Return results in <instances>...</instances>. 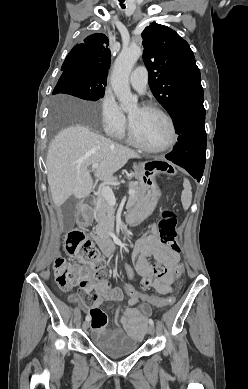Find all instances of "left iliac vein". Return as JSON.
I'll use <instances>...</instances> for the list:
<instances>
[{"mask_svg":"<svg viewBox=\"0 0 248 389\" xmlns=\"http://www.w3.org/2000/svg\"><path fill=\"white\" fill-rule=\"evenodd\" d=\"M148 333H149L150 335H152V336L155 334V328H154V326L149 325V327H148Z\"/></svg>","mask_w":248,"mask_h":389,"instance_id":"obj_1","label":"left iliac vein"}]
</instances>
